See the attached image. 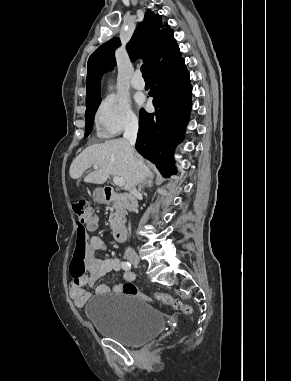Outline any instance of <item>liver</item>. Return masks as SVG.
<instances>
[{
  "label": "liver",
  "mask_w": 291,
  "mask_h": 381,
  "mask_svg": "<svg viewBox=\"0 0 291 381\" xmlns=\"http://www.w3.org/2000/svg\"><path fill=\"white\" fill-rule=\"evenodd\" d=\"M92 165H98V168L88 174L84 182L103 184L109 176L114 175L124 179L126 191L152 175L144 159L126 139H113L88 146L73 160L70 177L79 179Z\"/></svg>",
  "instance_id": "liver-1"
}]
</instances>
